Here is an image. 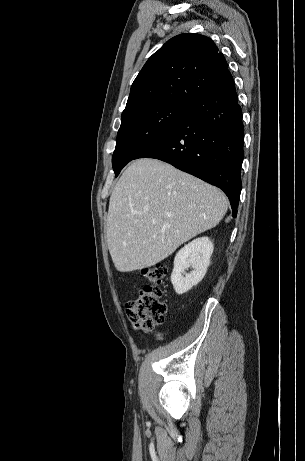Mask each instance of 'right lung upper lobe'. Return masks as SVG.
Returning a JSON list of instances; mask_svg holds the SVG:
<instances>
[{"label": "right lung upper lobe", "instance_id": "1", "mask_svg": "<svg viewBox=\"0 0 305 461\" xmlns=\"http://www.w3.org/2000/svg\"><path fill=\"white\" fill-rule=\"evenodd\" d=\"M231 79L223 54L210 38L180 34L145 63L131 86L122 116L163 102L190 104Z\"/></svg>", "mask_w": 305, "mask_h": 461}]
</instances>
